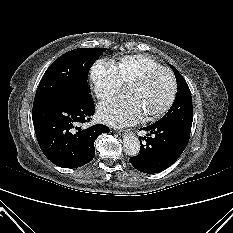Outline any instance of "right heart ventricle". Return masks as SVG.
Masks as SVG:
<instances>
[{"label":"right heart ventricle","instance_id":"e07e8e85","mask_svg":"<svg viewBox=\"0 0 233 233\" xmlns=\"http://www.w3.org/2000/svg\"><path fill=\"white\" fill-rule=\"evenodd\" d=\"M159 66L161 65L149 56L129 55L121 58L116 67L122 81L124 83H129L145 70Z\"/></svg>","mask_w":233,"mask_h":233}]
</instances>
